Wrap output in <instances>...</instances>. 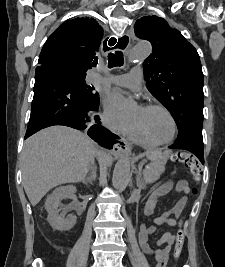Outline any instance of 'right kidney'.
<instances>
[{"instance_id": "obj_1", "label": "right kidney", "mask_w": 225, "mask_h": 267, "mask_svg": "<svg viewBox=\"0 0 225 267\" xmlns=\"http://www.w3.org/2000/svg\"><path fill=\"white\" fill-rule=\"evenodd\" d=\"M76 191L77 189L73 185L60 186L47 197L45 208L48 211V222L56 230L69 231L76 224V216L71 215L65 218L64 215L59 214L60 210L58 209L61 201L73 196Z\"/></svg>"}]
</instances>
